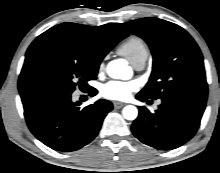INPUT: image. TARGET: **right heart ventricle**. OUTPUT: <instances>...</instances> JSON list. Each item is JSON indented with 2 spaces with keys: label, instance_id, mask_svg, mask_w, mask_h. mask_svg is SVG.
<instances>
[{
  "label": "right heart ventricle",
  "instance_id": "obj_1",
  "mask_svg": "<svg viewBox=\"0 0 220 173\" xmlns=\"http://www.w3.org/2000/svg\"><path fill=\"white\" fill-rule=\"evenodd\" d=\"M119 51L132 64L139 58H147L149 55V47L147 43L140 37L132 36L128 38L119 48Z\"/></svg>",
  "mask_w": 220,
  "mask_h": 173
}]
</instances>
